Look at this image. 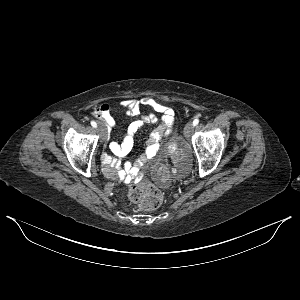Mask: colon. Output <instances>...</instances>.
<instances>
[{"label": "colon", "mask_w": 300, "mask_h": 300, "mask_svg": "<svg viewBox=\"0 0 300 300\" xmlns=\"http://www.w3.org/2000/svg\"><path fill=\"white\" fill-rule=\"evenodd\" d=\"M130 199L139 203L141 207L145 210H154L161 206L162 204V194L154 186L140 183L132 187L129 191Z\"/></svg>", "instance_id": "1"}]
</instances>
